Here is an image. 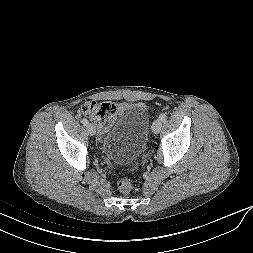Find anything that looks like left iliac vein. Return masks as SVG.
Returning <instances> with one entry per match:
<instances>
[{
    "instance_id": "4c4485c4",
    "label": "left iliac vein",
    "mask_w": 253,
    "mask_h": 253,
    "mask_svg": "<svg viewBox=\"0 0 253 253\" xmlns=\"http://www.w3.org/2000/svg\"><path fill=\"white\" fill-rule=\"evenodd\" d=\"M161 127H162V121L158 118L156 119L154 122H153V125H152V132L154 134H157L160 132L161 130Z\"/></svg>"
}]
</instances>
